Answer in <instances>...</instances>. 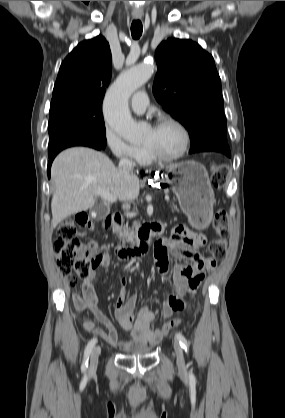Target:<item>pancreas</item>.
Wrapping results in <instances>:
<instances>
[{
	"label": "pancreas",
	"mask_w": 285,
	"mask_h": 418,
	"mask_svg": "<svg viewBox=\"0 0 285 418\" xmlns=\"http://www.w3.org/2000/svg\"><path fill=\"white\" fill-rule=\"evenodd\" d=\"M174 210H177V206L173 204ZM140 224L135 222L132 228L124 226L119 232V237L124 241L131 244H135L137 241V230L139 229Z\"/></svg>",
	"instance_id": "1"
}]
</instances>
